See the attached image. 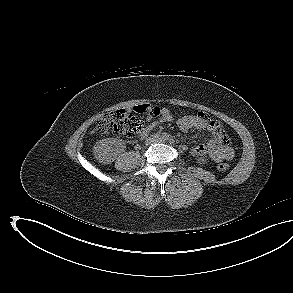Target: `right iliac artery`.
I'll use <instances>...</instances> for the list:
<instances>
[{"label": "right iliac artery", "mask_w": 293, "mask_h": 293, "mask_svg": "<svg viewBox=\"0 0 293 293\" xmlns=\"http://www.w3.org/2000/svg\"><path fill=\"white\" fill-rule=\"evenodd\" d=\"M163 138H164V139H168V138H169V135L165 133V134L163 135Z\"/></svg>", "instance_id": "1"}]
</instances>
